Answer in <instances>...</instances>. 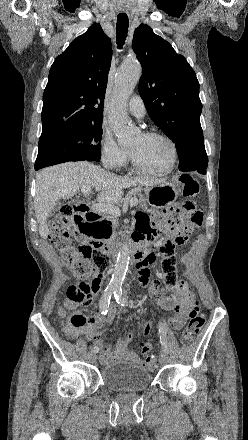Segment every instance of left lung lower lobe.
Wrapping results in <instances>:
<instances>
[{"label": "left lung lower lobe", "instance_id": "left-lung-lower-lobe-1", "mask_svg": "<svg viewBox=\"0 0 248 440\" xmlns=\"http://www.w3.org/2000/svg\"><path fill=\"white\" fill-rule=\"evenodd\" d=\"M192 171L198 172L200 174H206V167H201V168H198V169H195V170H192Z\"/></svg>", "mask_w": 248, "mask_h": 440}]
</instances>
